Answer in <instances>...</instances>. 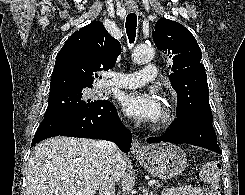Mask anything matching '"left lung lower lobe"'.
<instances>
[{
    "mask_svg": "<svg viewBox=\"0 0 245 195\" xmlns=\"http://www.w3.org/2000/svg\"><path fill=\"white\" fill-rule=\"evenodd\" d=\"M147 142L187 143L222 154L217 144L212 118L199 114H188L178 117L170 125L166 133L160 137L148 138Z\"/></svg>",
    "mask_w": 245,
    "mask_h": 195,
    "instance_id": "1",
    "label": "left lung lower lobe"
}]
</instances>
